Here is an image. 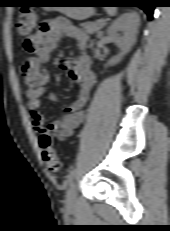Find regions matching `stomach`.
I'll list each match as a JSON object with an SVG mask.
<instances>
[{
  "label": "stomach",
  "instance_id": "1",
  "mask_svg": "<svg viewBox=\"0 0 170 231\" xmlns=\"http://www.w3.org/2000/svg\"><path fill=\"white\" fill-rule=\"evenodd\" d=\"M45 3L47 4H72V3H75V1L52 0V1H46ZM44 9L56 10L74 19H85L90 16V13L87 12V9H88L87 7H44Z\"/></svg>",
  "mask_w": 170,
  "mask_h": 231
}]
</instances>
